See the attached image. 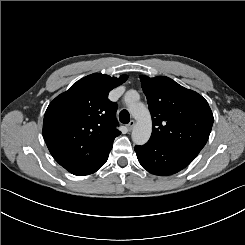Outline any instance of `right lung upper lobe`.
<instances>
[{
    "label": "right lung upper lobe",
    "instance_id": "right-lung-upper-lobe-1",
    "mask_svg": "<svg viewBox=\"0 0 245 245\" xmlns=\"http://www.w3.org/2000/svg\"><path fill=\"white\" fill-rule=\"evenodd\" d=\"M94 73L57 96L48 106L43 137L55 160L70 173L84 176L107 160L116 129L117 104L108 99L113 88L127 80Z\"/></svg>",
    "mask_w": 245,
    "mask_h": 245
}]
</instances>
